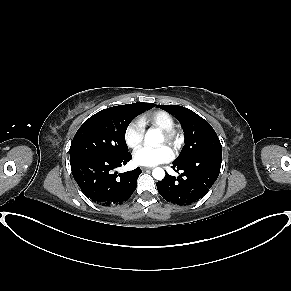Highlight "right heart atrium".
<instances>
[{"mask_svg": "<svg viewBox=\"0 0 291 291\" xmlns=\"http://www.w3.org/2000/svg\"><path fill=\"white\" fill-rule=\"evenodd\" d=\"M144 137V126L140 120L130 121L124 130V141L129 148L139 146Z\"/></svg>", "mask_w": 291, "mask_h": 291, "instance_id": "right-heart-atrium-1", "label": "right heart atrium"}]
</instances>
